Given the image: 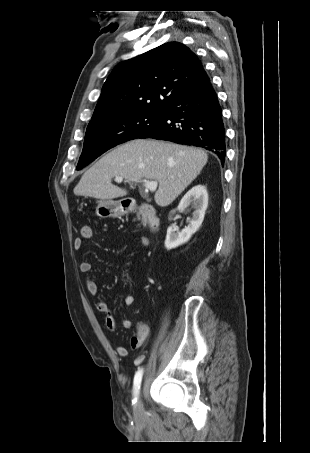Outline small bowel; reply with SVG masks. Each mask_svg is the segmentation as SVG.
I'll return each mask as SVG.
<instances>
[{"instance_id":"1","label":"small bowel","mask_w":310,"mask_h":453,"mask_svg":"<svg viewBox=\"0 0 310 453\" xmlns=\"http://www.w3.org/2000/svg\"><path fill=\"white\" fill-rule=\"evenodd\" d=\"M90 238L88 237H77L74 239L73 245L75 249H81L83 246L84 239ZM142 243L143 245H147V240L145 238H142ZM80 271L82 273H89L92 269V264L88 260H84L80 263ZM85 285L88 293L92 296H96L98 294V285L97 283L91 279L90 277H87L85 280ZM122 302L125 306H131L134 303V297L132 295H124L122 297ZM96 309L104 314V324L106 328L110 331H115L117 328V322L116 319L110 310L108 304L103 301L99 300L96 302ZM121 326L123 328H130L132 326L131 320L124 318L121 320ZM149 334V329L148 326L144 323H139L136 328L135 334L131 337L130 339V345L133 349H138L140 348L146 338L148 337ZM117 354L120 357H125L128 355V350L124 345H118L116 348Z\"/></svg>"}]
</instances>
